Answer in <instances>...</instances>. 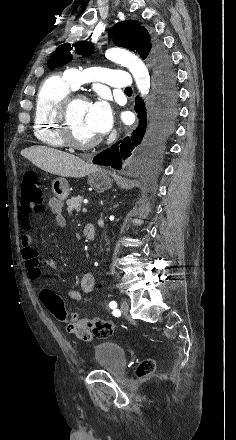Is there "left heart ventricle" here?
Returning <instances> with one entry per match:
<instances>
[{"mask_svg": "<svg viewBox=\"0 0 236 440\" xmlns=\"http://www.w3.org/2000/svg\"><path fill=\"white\" fill-rule=\"evenodd\" d=\"M90 103L85 101L76 102L70 111V122L74 137L81 142L89 141L97 137L92 123L89 120Z\"/></svg>", "mask_w": 236, "mask_h": 440, "instance_id": "obj_1", "label": "left heart ventricle"}]
</instances>
